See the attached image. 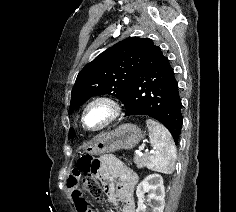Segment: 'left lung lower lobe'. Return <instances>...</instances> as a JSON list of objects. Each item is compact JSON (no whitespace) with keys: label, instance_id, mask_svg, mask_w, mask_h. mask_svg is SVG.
Masks as SVG:
<instances>
[{"label":"left lung lower lobe","instance_id":"obj_1","mask_svg":"<svg viewBox=\"0 0 236 212\" xmlns=\"http://www.w3.org/2000/svg\"><path fill=\"white\" fill-rule=\"evenodd\" d=\"M126 114L147 115L162 123L177 144L182 127L181 98L173 68L150 40L124 99Z\"/></svg>","mask_w":236,"mask_h":212}]
</instances>
